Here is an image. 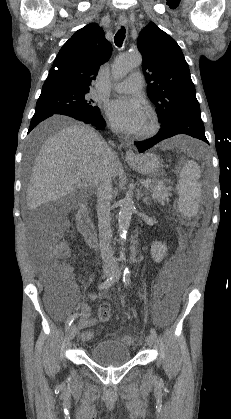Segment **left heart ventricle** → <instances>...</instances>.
<instances>
[{
  "instance_id": "1",
  "label": "left heart ventricle",
  "mask_w": 231,
  "mask_h": 419,
  "mask_svg": "<svg viewBox=\"0 0 231 419\" xmlns=\"http://www.w3.org/2000/svg\"><path fill=\"white\" fill-rule=\"evenodd\" d=\"M146 126H147V117L145 118V121H144V124H143V126H142V129H141V130H143Z\"/></svg>"
}]
</instances>
